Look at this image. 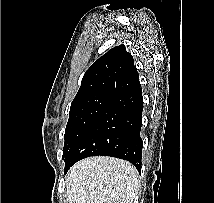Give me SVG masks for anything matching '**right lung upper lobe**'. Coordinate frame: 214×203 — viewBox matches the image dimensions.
Instances as JSON below:
<instances>
[{
	"instance_id": "obj_1",
	"label": "right lung upper lobe",
	"mask_w": 214,
	"mask_h": 203,
	"mask_svg": "<svg viewBox=\"0 0 214 203\" xmlns=\"http://www.w3.org/2000/svg\"><path fill=\"white\" fill-rule=\"evenodd\" d=\"M139 85L133 57L124 45H119L105 53L85 72L74 100L92 95L114 98Z\"/></svg>"
}]
</instances>
